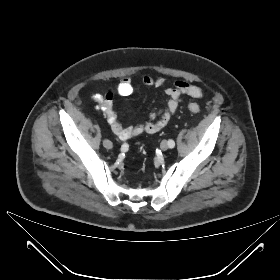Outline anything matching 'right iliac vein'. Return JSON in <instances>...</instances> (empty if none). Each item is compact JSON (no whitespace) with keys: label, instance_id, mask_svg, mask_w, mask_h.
Instances as JSON below:
<instances>
[{"label":"right iliac vein","instance_id":"1","mask_svg":"<svg viewBox=\"0 0 280 280\" xmlns=\"http://www.w3.org/2000/svg\"><path fill=\"white\" fill-rule=\"evenodd\" d=\"M103 146L106 148V149H112L113 145H112V142L105 139L103 140Z\"/></svg>","mask_w":280,"mask_h":280}]
</instances>
